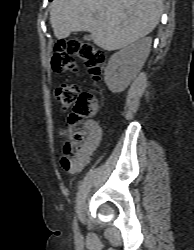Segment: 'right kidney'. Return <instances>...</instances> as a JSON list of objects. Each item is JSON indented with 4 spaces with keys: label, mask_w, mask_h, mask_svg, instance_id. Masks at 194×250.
Masks as SVG:
<instances>
[{
    "label": "right kidney",
    "mask_w": 194,
    "mask_h": 250,
    "mask_svg": "<svg viewBox=\"0 0 194 250\" xmlns=\"http://www.w3.org/2000/svg\"><path fill=\"white\" fill-rule=\"evenodd\" d=\"M151 43V37H145L111 56L104 81L112 93L124 91L136 77L149 55Z\"/></svg>",
    "instance_id": "obj_1"
}]
</instances>
